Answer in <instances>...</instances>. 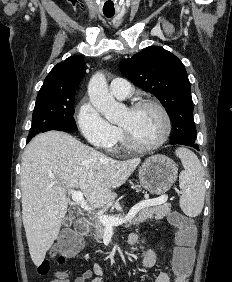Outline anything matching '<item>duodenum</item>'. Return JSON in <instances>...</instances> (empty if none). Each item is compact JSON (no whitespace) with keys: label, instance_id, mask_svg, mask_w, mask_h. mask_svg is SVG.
Segmentation results:
<instances>
[{"label":"duodenum","instance_id":"410a0bca","mask_svg":"<svg viewBox=\"0 0 232 282\" xmlns=\"http://www.w3.org/2000/svg\"><path fill=\"white\" fill-rule=\"evenodd\" d=\"M74 228H75V231L78 235L84 236L89 231V224H88L87 220L80 218V219L76 220V222L74 224Z\"/></svg>","mask_w":232,"mask_h":282}]
</instances>
